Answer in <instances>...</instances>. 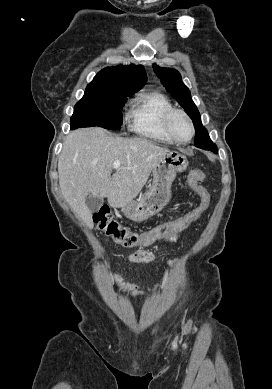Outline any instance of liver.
<instances>
[{
  "label": "liver",
  "mask_w": 272,
  "mask_h": 389,
  "mask_svg": "<svg viewBox=\"0 0 272 389\" xmlns=\"http://www.w3.org/2000/svg\"><path fill=\"white\" fill-rule=\"evenodd\" d=\"M168 149L144 138H121L103 128L72 131L58 160L59 185L71 209L92 227L86 197H107L113 208L131 202ZM121 166L111 176L113 163Z\"/></svg>",
  "instance_id": "obj_1"
}]
</instances>
